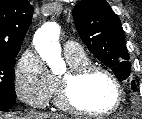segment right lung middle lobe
<instances>
[{
  "label": "right lung middle lobe",
  "instance_id": "dd1d6c3e",
  "mask_svg": "<svg viewBox=\"0 0 142 119\" xmlns=\"http://www.w3.org/2000/svg\"><path fill=\"white\" fill-rule=\"evenodd\" d=\"M18 52L0 53V99L16 101L14 66Z\"/></svg>",
  "mask_w": 142,
  "mask_h": 119
}]
</instances>
